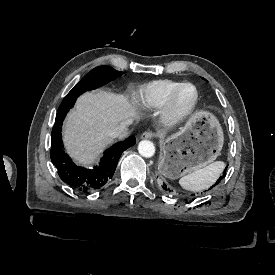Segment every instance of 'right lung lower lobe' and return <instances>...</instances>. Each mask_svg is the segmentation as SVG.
I'll return each mask as SVG.
<instances>
[{"instance_id":"obj_1","label":"right lung lower lobe","mask_w":275,"mask_h":275,"mask_svg":"<svg viewBox=\"0 0 275 275\" xmlns=\"http://www.w3.org/2000/svg\"><path fill=\"white\" fill-rule=\"evenodd\" d=\"M75 102L61 103L58 108L55 124L52 129L51 160L63 182L81 193H89L102 188L115 172L118 160L124 150L133 146L135 137L130 136L122 142L114 144L104 152L99 166L86 169L75 165L64 152L62 145L61 125Z\"/></svg>"}]
</instances>
